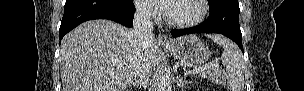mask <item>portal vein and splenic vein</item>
<instances>
[{
	"label": "portal vein and splenic vein",
	"instance_id": "obj_1",
	"mask_svg": "<svg viewBox=\"0 0 304 91\" xmlns=\"http://www.w3.org/2000/svg\"><path fill=\"white\" fill-rule=\"evenodd\" d=\"M209 68H212L214 70H217L219 69V64L218 63H211V64H208L206 65L204 68H199V69H195V70H189V71H186L184 73V75H188V74H196V73H199V72H202L204 71L205 69H209Z\"/></svg>",
	"mask_w": 304,
	"mask_h": 91
}]
</instances>
